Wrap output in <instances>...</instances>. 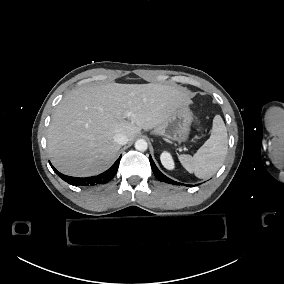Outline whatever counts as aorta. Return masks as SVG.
Segmentation results:
<instances>
[{
	"mask_svg": "<svg viewBox=\"0 0 284 284\" xmlns=\"http://www.w3.org/2000/svg\"><path fill=\"white\" fill-rule=\"evenodd\" d=\"M148 148V144L145 140L139 139L135 142V149L138 151H146Z\"/></svg>",
	"mask_w": 284,
	"mask_h": 284,
	"instance_id": "1",
	"label": "aorta"
}]
</instances>
